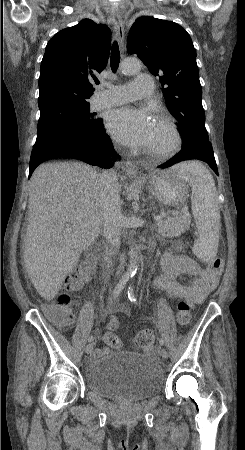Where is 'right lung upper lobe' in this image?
<instances>
[{
	"label": "right lung upper lobe",
	"instance_id": "right-lung-upper-lobe-1",
	"mask_svg": "<svg viewBox=\"0 0 245 450\" xmlns=\"http://www.w3.org/2000/svg\"><path fill=\"white\" fill-rule=\"evenodd\" d=\"M111 46V32L105 25L84 19L61 30L48 42L41 62L39 109L58 104H89L105 69Z\"/></svg>",
	"mask_w": 245,
	"mask_h": 450
}]
</instances>
